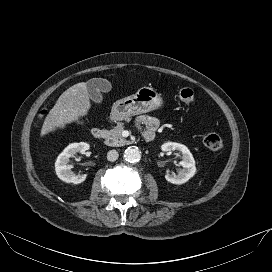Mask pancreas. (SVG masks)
I'll return each instance as SVG.
<instances>
[{"instance_id":"obj_1","label":"pancreas","mask_w":272,"mask_h":272,"mask_svg":"<svg viewBox=\"0 0 272 272\" xmlns=\"http://www.w3.org/2000/svg\"><path fill=\"white\" fill-rule=\"evenodd\" d=\"M124 123L119 122L113 129L107 131L106 144L108 146L120 147L129 144V141L122 136Z\"/></svg>"}]
</instances>
